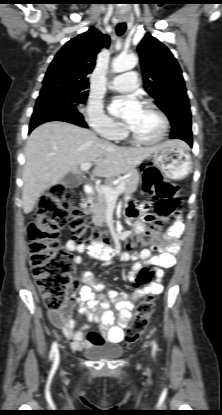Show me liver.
<instances>
[{"mask_svg":"<svg viewBox=\"0 0 222 415\" xmlns=\"http://www.w3.org/2000/svg\"><path fill=\"white\" fill-rule=\"evenodd\" d=\"M158 147H118L88 129L66 122L42 124L32 131L26 143L23 211L29 214L41 194L57 185L67 173L81 174L79 166L83 163H93L95 176L111 178L131 171Z\"/></svg>","mask_w":222,"mask_h":415,"instance_id":"liver-1","label":"liver"}]
</instances>
